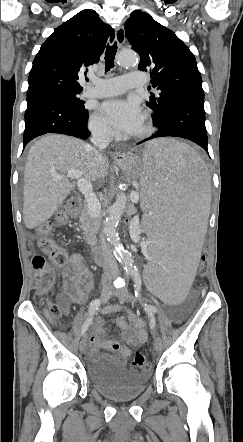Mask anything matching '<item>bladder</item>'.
Segmentation results:
<instances>
[{"mask_svg": "<svg viewBox=\"0 0 243 442\" xmlns=\"http://www.w3.org/2000/svg\"><path fill=\"white\" fill-rule=\"evenodd\" d=\"M87 376L103 397L116 402L138 398L148 383V375L103 353L88 360Z\"/></svg>", "mask_w": 243, "mask_h": 442, "instance_id": "1", "label": "bladder"}]
</instances>
